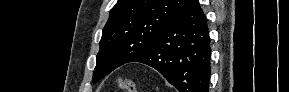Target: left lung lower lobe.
<instances>
[{
    "label": "left lung lower lobe",
    "mask_w": 289,
    "mask_h": 92,
    "mask_svg": "<svg viewBox=\"0 0 289 92\" xmlns=\"http://www.w3.org/2000/svg\"><path fill=\"white\" fill-rule=\"evenodd\" d=\"M210 37L198 0H190L155 42L130 62L159 71L179 92H208Z\"/></svg>",
    "instance_id": "0a47b994"
}]
</instances>
